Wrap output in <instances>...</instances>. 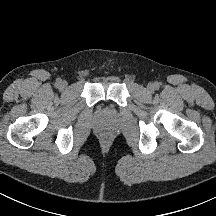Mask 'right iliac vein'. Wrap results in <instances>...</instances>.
I'll return each mask as SVG.
<instances>
[{"instance_id":"1","label":"right iliac vein","mask_w":216,"mask_h":216,"mask_svg":"<svg viewBox=\"0 0 216 216\" xmlns=\"http://www.w3.org/2000/svg\"><path fill=\"white\" fill-rule=\"evenodd\" d=\"M68 83L66 81H61V83L59 84V88L60 89H65L67 87Z\"/></svg>"}]
</instances>
